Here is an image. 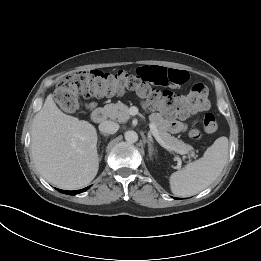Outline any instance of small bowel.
<instances>
[{"mask_svg": "<svg viewBox=\"0 0 261 261\" xmlns=\"http://www.w3.org/2000/svg\"><path fill=\"white\" fill-rule=\"evenodd\" d=\"M139 74L145 81L161 86H180L189 79V74L186 71L157 65L141 67ZM181 118L184 119L186 116H182ZM151 120L159 127L171 133H180L186 130V124L183 121L166 119L159 113H153Z\"/></svg>", "mask_w": 261, "mask_h": 261, "instance_id": "obj_1", "label": "small bowel"}]
</instances>
